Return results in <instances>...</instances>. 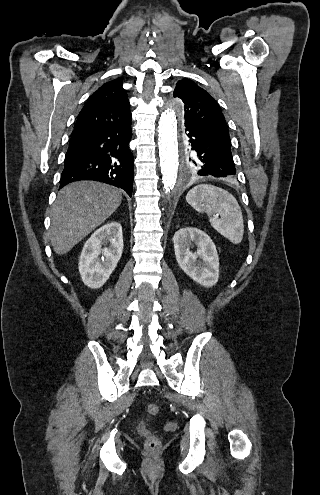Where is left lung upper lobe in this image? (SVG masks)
Wrapping results in <instances>:
<instances>
[{"instance_id": "obj_1", "label": "left lung upper lobe", "mask_w": 320, "mask_h": 495, "mask_svg": "<svg viewBox=\"0 0 320 495\" xmlns=\"http://www.w3.org/2000/svg\"><path fill=\"white\" fill-rule=\"evenodd\" d=\"M173 95L184 103V120L195 122L217 141L231 148L225 118L219 105L208 92L190 79H182L177 82ZM199 155V151L193 147L185 153L184 168L189 177L199 175Z\"/></svg>"}]
</instances>
